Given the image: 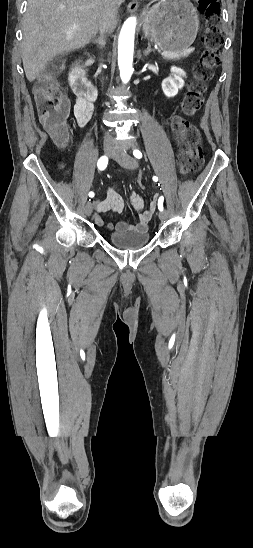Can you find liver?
<instances>
[{
	"mask_svg": "<svg viewBox=\"0 0 253 548\" xmlns=\"http://www.w3.org/2000/svg\"><path fill=\"white\" fill-rule=\"evenodd\" d=\"M103 12L104 0H28L21 47L28 81L56 56L88 45L99 31ZM114 23L116 27L117 19Z\"/></svg>",
	"mask_w": 253,
	"mask_h": 548,
	"instance_id": "6515ba94",
	"label": "liver"
}]
</instances>
